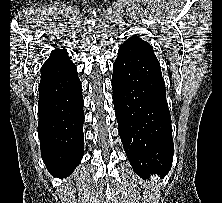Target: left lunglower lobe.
<instances>
[{
    "mask_svg": "<svg viewBox=\"0 0 222 203\" xmlns=\"http://www.w3.org/2000/svg\"><path fill=\"white\" fill-rule=\"evenodd\" d=\"M113 102L129 162L141 177L165 175L173 161L171 117L165 83L153 47L134 35L113 64Z\"/></svg>",
    "mask_w": 222,
    "mask_h": 203,
    "instance_id": "0a47b994",
    "label": "left lung lower lobe"
}]
</instances>
